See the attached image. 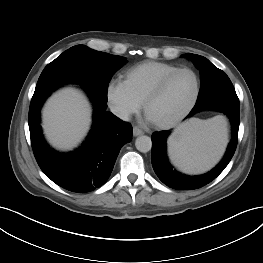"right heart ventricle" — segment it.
I'll list each match as a JSON object with an SVG mask.
<instances>
[{
  "mask_svg": "<svg viewBox=\"0 0 263 263\" xmlns=\"http://www.w3.org/2000/svg\"><path fill=\"white\" fill-rule=\"evenodd\" d=\"M177 66L157 61H148L135 65L125 71L123 78L130 93L143 103L146 96L157 83Z\"/></svg>",
  "mask_w": 263,
  "mask_h": 263,
  "instance_id": "right-heart-ventricle-1",
  "label": "right heart ventricle"
}]
</instances>
